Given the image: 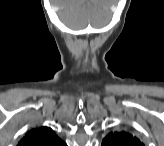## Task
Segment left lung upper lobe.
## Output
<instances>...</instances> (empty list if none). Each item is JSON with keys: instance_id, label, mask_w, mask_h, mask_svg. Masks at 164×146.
<instances>
[{"instance_id": "obj_1", "label": "left lung upper lobe", "mask_w": 164, "mask_h": 146, "mask_svg": "<svg viewBox=\"0 0 164 146\" xmlns=\"http://www.w3.org/2000/svg\"><path fill=\"white\" fill-rule=\"evenodd\" d=\"M102 146H144L138 138L126 131L110 132L102 142Z\"/></svg>"}]
</instances>
